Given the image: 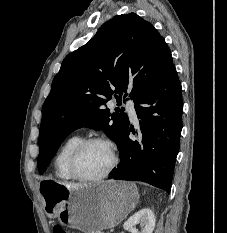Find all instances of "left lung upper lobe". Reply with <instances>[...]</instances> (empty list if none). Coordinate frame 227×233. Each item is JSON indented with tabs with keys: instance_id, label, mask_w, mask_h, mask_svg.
<instances>
[{
	"instance_id": "1",
	"label": "left lung upper lobe",
	"mask_w": 227,
	"mask_h": 233,
	"mask_svg": "<svg viewBox=\"0 0 227 233\" xmlns=\"http://www.w3.org/2000/svg\"><path fill=\"white\" fill-rule=\"evenodd\" d=\"M173 66L171 52L154 26L135 13L118 15L101 26L84 46L61 64L42 107L40 174L64 139L80 127L103 129L117 145L128 116L104 109L116 93L136 101L155 88ZM125 101V100H124ZM124 109L122 108L121 111Z\"/></svg>"
}]
</instances>
